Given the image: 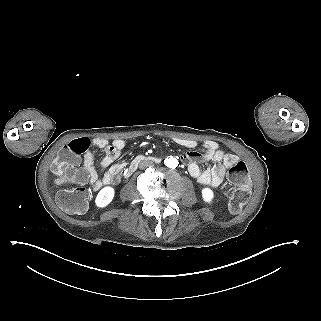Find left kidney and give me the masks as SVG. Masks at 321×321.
<instances>
[{
    "label": "left kidney",
    "instance_id": "5707ae66",
    "mask_svg": "<svg viewBox=\"0 0 321 321\" xmlns=\"http://www.w3.org/2000/svg\"><path fill=\"white\" fill-rule=\"evenodd\" d=\"M201 198L203 202L207 203L208 205H211L215 200V193L211 188L203 187L201 189Z\"/></svg>",
    "mask_w": 321,
    "mask_h": 321
}]
</instances>
